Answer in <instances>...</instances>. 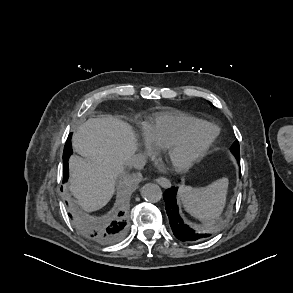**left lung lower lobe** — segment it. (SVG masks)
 Returning a JSON list of instances; mask_svg holds the SVG:
<instances>
[{
	"instance_id": "obj_1",
	"label": "left lung lower lobe",
	"mask_w": 293,
	"mask_h": 293,
	"mask_svg": "<svg viewBox=\"0 0 293 293\" xmlns=\"http://www.w3.org/2000/svg\"><path fill=\"white\" fill-rule=\"evenodd\" d=\"M236 159L238 163H240V157ZM177 190L178 188L172 187L166 190L163 195L169 223L175 237L181 241H195L210 236V234H197L189 228V226L183 223V220L179 216V209L176 204Z\"/></svg>"
}]
</instances>
